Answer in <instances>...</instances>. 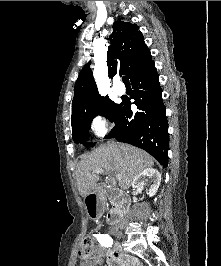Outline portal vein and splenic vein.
Wrapping results in <instances>:
<instances>
[{"mask_svg":"<svg viewBox=\"0 0 221 266\" xmlns=\"http://www.w3.org/2000/svg\"><path fill=\"white\" fill-rule=\"evenodd\" d=\"M102 172H103V170L100 169V168L94 169V170L92 171V173H97V174L102 173ZM116 178H117L118 180H120V179H121V175L117 174V175H116Z\"/></svg>","mask_w":221,"mask_h":266,"instance_id":"1","label":"portal vein and splenic vein"}]
</instances>
